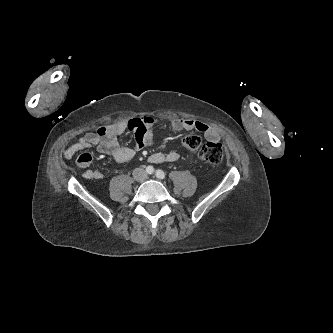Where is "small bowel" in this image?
Listing matches in <instances>:
<instances>
[{
	"label": "small bowel",
	"mask_w": 333,
	"mask_h": 333,
	"mask_svg": "<svg viewBox=\"0 0 333 333\" xmlns=\"http://www.w3.org/2000/svg\"><path fill=\"white\" fill-rule=\"evenodd\" d=\"M156 121L151 116H143L129 119L128 121H118L113 124L100 127L96 132H88L70 145L63 153L65 159H71L78 153L96 147L98 152L110 155L120 164L128 163L132 160L135 150L130 147L121 146L118 143V136L125 131L135 134L136 146L143 148L150 146L154 142V129ZM170 126L175 131L197 130L201 132L209 142H217L220 134L217 129L206 123L185 118H174ZM179 154L171 151L167 154L155 153L150 156L152 163L175 162L179 159ZM92 161L89 152L80 153L76 159L79 167L87 168ZM85 179L100 180L103 174L98 170H86L83 174Z\"/></svg>",
	"instance_id": "obj_1"
}]
</instances>
